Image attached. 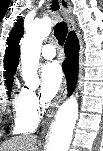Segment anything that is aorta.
Listing matches in <instances>:
<instances>
[{"label":"aorta","mask_w":103,"mask_h":151,"mask_svg":"<svg viewBox=\"0 0 103 151\" xmlns=\"http://www.w3.org/2000/svg\"><path fill=\"white\" fill-rule=\"evenodd\" d=\"M52 20L48 17L37 19L26 26V33L21 40L20 59L24 79L35 76L39 66L42 41L49 36ZM78 103L70 97L57 112L46 151H68L73 130L78 119Z\"/></svg>","instance_id":"1"}]
</instances>
